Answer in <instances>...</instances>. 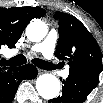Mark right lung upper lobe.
Returning <instances> with one entry per match:
<instances>
[{
  "instance_id": "cb5924a9",
  "label": "right lung upper lobe",
  "mask_w": 103,
  "mask_h": 103,
  "mask_svg": "<svg viewBox=\"0 0 103 103\" xmlns=\"http://www.w3.org/2000/svg\"><path fill=\"white\" fill-rule=\"evenodd\" d=\"M45 13L40 7L0 8V48L15 47L28 23L34 18L44 16ZM4 71L5 68L0 67V73Z\"/></svg>"
}]
</instances>
